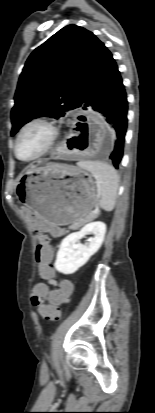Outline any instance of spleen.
Returning <instances> with one entry per match:
<instances>
[{
  "instance_id": "obj_1",
  "label": "spleen",
  "mask_w": 155,
  "mask_h": 413,
  "mask_svg": "<svg viewBox=\"0 0 155 413\" xmlns=\"http://www.w3.org/2000/svg\"><path fill=\"white\" fill-rule=\"evenodd\" d=\"M77 165L90 172L96 179L100 208L107 212L112 211L119 186V177L113 166L90 160L78 162Z\"/></svg>"
}]
</instances>
